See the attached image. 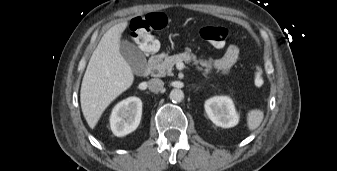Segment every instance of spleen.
I'll list each match as a JSON object with an SVG mask.
<instances>
[{
	"mask_svg": "<svg viewBox=\"0 0 337 171\" xmlns=\"http://www.w3.org/2000/svg\"><path fill=\"white\" fill-rule=\"evenodd\" d=\"M264 113L262 110L253 109L247 113V125L250 131L257 129L263 121Z\"/></svg>",
	"mask_w": 337,
	"mask_h": 171,
	"instance_id": "1",
	"label": "spleen"
}]
</instances>
